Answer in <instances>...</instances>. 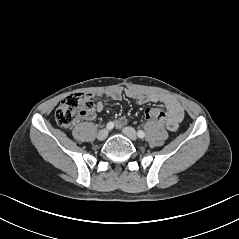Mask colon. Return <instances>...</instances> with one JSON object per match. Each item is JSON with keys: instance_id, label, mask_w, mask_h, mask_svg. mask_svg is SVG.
I'll return each instance as SVG.
<instances>
[{"instance_id": "1", "label": "colon", "mask_w": 239, "mask_h": 239, "mask_svg": "<svg viewBox=\"0 0 239 239\" xmlns=\"http://www.w3.org/2000/svg\"><path fill=\"white\" fill-rule=\"evenodd\" d=\"M93 110V102L88 94L75 93L62 100L55 112L57 124L69 129L82 116L90 115ZM148 119L163 122L165 112L159 106H152L146 110Z\"/></svg>"}]
</instances>
